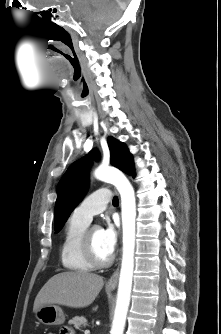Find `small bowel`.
Returning a JSON list of instances; mask_svg holds the SVG:
<instances>
[{
  "mask_svg": "<svg viewBox=\"0 0 221 334\" xmlns=\"http://www.w3.org/2000/svg\"><path fill=\"white\" fill-rule=\"evenodd\" d=\"M62 334H72V333H71V331H69V330H64V331L62 332Z\"/></svg>",
  "mask_w": 221,
  "mask_h": 334,
  "instance_id": "c3829d8e",
  "label": "small bowel"
}]
</instances>
